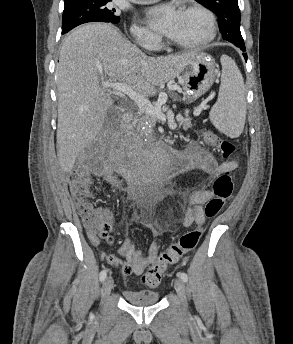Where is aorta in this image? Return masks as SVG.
<instances>
[{"label":"aorta","instance_id":"1","mask_svg":"<svg viewBox=\"0 0 293 344\" xmlns=\"http://www.w3.org/2000/svg\"><path fill=\"white\" fill-rule=\"evenodd\" d=\"M168 162V155L165 152L156 154L151 160V167L153 171H162L166 168Z\"/></svg>","mask_w":293,"mask_h":344}]
</instances>
